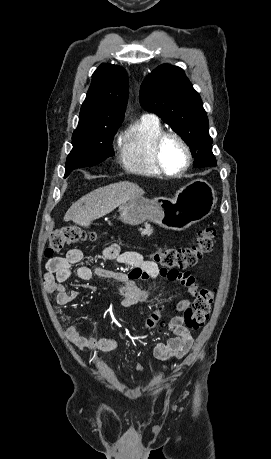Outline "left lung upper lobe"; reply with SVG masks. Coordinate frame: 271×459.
Instances as JSON below:
<instances>
[{
  "label": "left lung upper lobe",
  "mask_w": 271,
  "mask_h": 459,
  "mask_svg": "<svg viewBox=\"0 0 271 459\" xmlns=\"http://www.w3.org/2000/svg\"><path fill=\"white\" fill-rule=\"evenodd\" d=\"M139 99L145 110L161 117L189 145L195 168L216 165L202 100L181 68L157 67L144 79Z\"/></svg>",
  "instance_id": "left-lung-upper-lobe-1"
}]
</instances>
